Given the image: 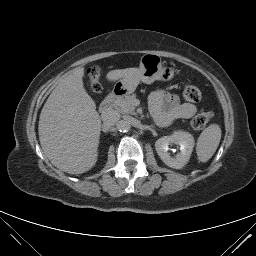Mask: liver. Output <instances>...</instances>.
Returning a JSON list of instances; mask_svg holds the SVG:
<instances>
[{"label":"liver","instance_id":"6515ba94","mask_svg":"<svg viewBox=\"0 0 256 256\" xmlns=\"http://www.w3.org/2000/svg\"><path fill=\"white\" fill-rule=\"evenodd\" d=\"M138 68L109 71L115 81ZM84 68L77 67L60 80L40 114L41 147L57 168L69 174L89 171L97 162L101 119L83 85Z\"/></svg>","mask_w":256,"mask_h":256}]
</instances>
